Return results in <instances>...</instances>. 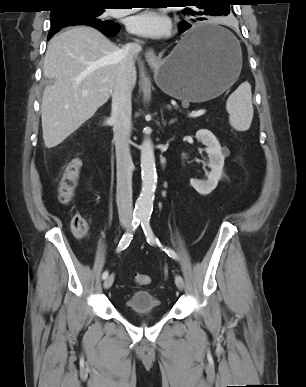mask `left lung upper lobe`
Returning a JSON list of instances; mask_svg holds the SVG:
<instances>
[{
	"label": "left lung upper lobe",
	"mask_w": 306,
	"mask_h": 387,
	"mask_svg": "<svg viewBox=\"0 0 306 387\" xmlns=\"http://www.w3.org/2000/svg\"><path fill=\"white\" fill-rule=\"evenodd\" d=\"M184 4L194 5L185 8L183 14L187 17V23L194 24L197 21L207 20L209 16H223L229 14L228 0H183Z\"/></svg>",
	"instance_id": "5c2ea615"
}]
</instances>
